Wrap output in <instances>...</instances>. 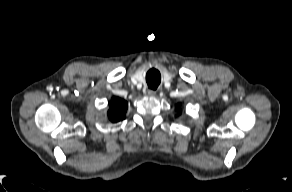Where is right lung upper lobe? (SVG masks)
<instances>
[{"label": "right lung upper lobe", "instance_id": "obj_1", "mask_svg": "<svg viewBox=\"0 0 292 192\" xmlns=\"http://www.w3.org/2000/svg\"><path fill=\"white\" fill-rule=\"evenodd\" d=\"M108 118L111 122H118L126 118L128 103L118 97H113L109 103Z\"/></svg>", "mask_w": 292, "mask_h": 192}]
</instances>
